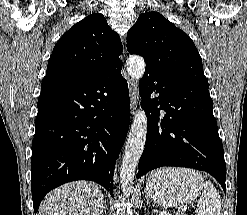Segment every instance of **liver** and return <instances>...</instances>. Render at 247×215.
<instances>
[{
	"instance_id": "liver-1",
	"label": "liver",
	"mask_w": 247,
	"mask_h": 215,
	"mask_svg": "<svg viewBox=\"0 0 247 215\" xmlns=\"http://www.w3.org/2000/svg\"><path fill=\"white\" fill-rule=\"evenodd\" d=\"M104 195L91 182L76 181L50 192L40 205L42 215H102Z\"/></svg>"
}]
</instances>
